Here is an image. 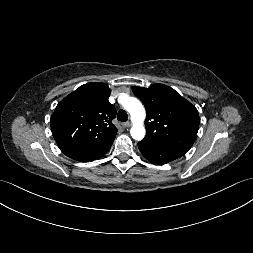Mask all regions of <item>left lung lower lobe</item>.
I'll return each mask as SVG.
<instances>
[{
  "label": "left lung lower lobe",
  "mask_w": 253,
  "mask_h": 253,
  "mask_svg": "<svg viewBox=\"0 0 253 253\" xmlns=\"http://www.w3.org/2000/svg\"><path fill=\"white\" fill-rule=\"evenodd\" d=\"M138 148L148 161L157 165L168 163L185 154L177 150L146 144L142 141L138 143Z\"/></svg>",
  "instance_id": "1"
}]
</instances>
